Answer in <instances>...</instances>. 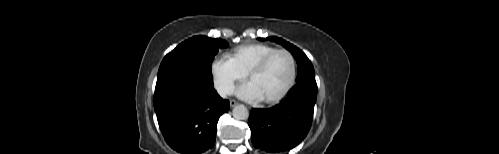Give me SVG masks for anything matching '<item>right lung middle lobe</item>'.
I'll return each instance as SVG.
<instances>
[{
  "mask_svg": "<svg viewBox=\"0 0 499 154\" xmlns=\"http://www.w3.org/2000/svg\"><path fill=\"white\" fill-rule=\"evenodd\" d=\"M226 47V41L206 36H195L182 42L164 57L156 85L185 76H201L213 81L210 64L218 50Z\"/></svg>",
  "mask_w": 499,
  "mask_h": 154,
  "instance_id": "right-lung-middle-lobe-1",
  "label": "right lung middle lobe"
}]
</instances>
